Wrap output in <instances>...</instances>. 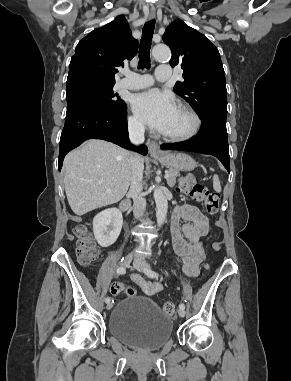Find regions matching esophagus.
Here are the masks:
<instances>
[{"mask_svg": "<svg viewBox=\"0 0 291 381\" xmlns=\"http://www.w3.org/2000/svg\"><path fill=\"white\" fill-rule=\"evenodd\" d=\"M155 15H156V10L155 8L152 6L149 10V13H148V18L150 20L154 19L155 18ZM147 145H148V149H149V153L151 155H160L162 154L163 152L160 150L159 148V145L156 141L154 140H148L147 142Z\"/></svg>", "mask_w": 291, "mask_h": 381, "instance_id": "esophagus-1", "label": "esophagus"}]
</instances>
